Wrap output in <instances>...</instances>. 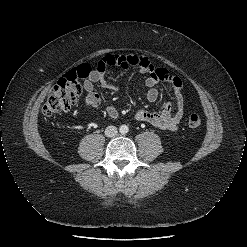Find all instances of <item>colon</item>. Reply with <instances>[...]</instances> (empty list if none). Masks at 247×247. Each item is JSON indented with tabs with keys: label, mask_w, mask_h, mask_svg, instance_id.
Returning a JSON list of instances; mask_svg holds the SVG:
<instances>
[{
	"label": "colon",
	"mask_w": 247,
	"mask_h": 247,
	"mask_svg": "<svg viewBox=\"0 0 247 247\" xmlns=\"http://www.w3.org/2000/svg\"><path fill=\"white\" fill-rule=\"evenodd\" d=\"M90 73L88 65H81L68 72L65 77L60 79L50 91L43 106V113L46 116L67 112L75 106L82 96L83 89L80 83ZM191 128H197L202 124V117L199 112L193 111L188 118Z\"/></svg>",
	"instance_id": "colon-1"
}]
</instances>
